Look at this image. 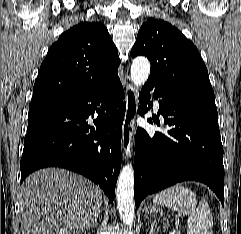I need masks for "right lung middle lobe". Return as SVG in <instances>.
Returning a JSON list of instances; mask_svg holds the SVG:
<instances>
[{
  "instance_id": "dd1d6c3e",
  "label": "right lung middle lobe",
  "mask_w": 241,
  "mask_h": 234,
  "mask_svg": "<svg viewBox=\"0 0 241 234\" xmlns=\"http://www.w3.org/2000/svg\"><path fill=\"white\" fill-rule=\"evenodd\" d=\"M32 107H35V106H29V108H32Z\"/></svg>"
}]
</instances>
